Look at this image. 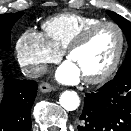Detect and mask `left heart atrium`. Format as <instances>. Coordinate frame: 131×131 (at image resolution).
Listing matches in <instances>:
<instances>
[{
	"mask_svg": "<svg viewBox=\"0 0 131 131\" xmlns=\"http://www.w3.org/2000/svg\"><path fill=\"white\" fill-rule=\"evenodd\" d=\"M56 77L62 83L74 84L80 80L81 75L70 61H66L57 70Z\"/></svg>",
	"mask_w": 131,
	"mask_h": 131,
	"instance_id": "left-heart-atrium-1",
	"label": "left heart atrium"
}]
</instances>
